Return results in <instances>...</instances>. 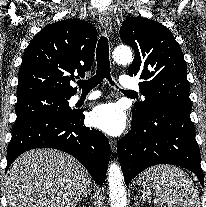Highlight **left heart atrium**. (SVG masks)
<instances>
[{"label": "left heart atrium", "instance_id": "left-heart-atrium-1", "mask_svg": "<svg viewBox=\"0 0 206 207\" xmlns=\"http://www.w3.org/2000/svg\"><path fill=\"white\" fill-rule=\"evenodd\" d=\"M91 124L111 136L121 135L127 126L126 115L116 103L96 106L90 114Z\"/></svg>", "mask_w": 206, "mask_h": 207}]
</instances>
